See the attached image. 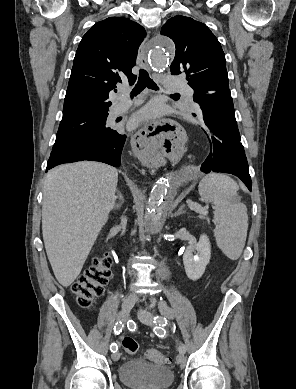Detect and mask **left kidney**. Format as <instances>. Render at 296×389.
I'll return each instance as SVG.
<instances>
[{
    "instance_id": "left-kidney-1",
    "label": "left kidney",
    "mask_w": 296,
    "mask_h": 389,
    "mask_svg": "<svg viewBox=\"0 0 296 389\" xmlns=\"http://www.w3.org/2000/svg\"><path fill=\"white\" fill-rule=\"evenodd\" d=\"M211 258V244L206 234L200 236L199 242L186 248L183 255L185 272L190 280L202 277Z\"/></svg>"
}]
</instances>
